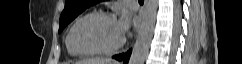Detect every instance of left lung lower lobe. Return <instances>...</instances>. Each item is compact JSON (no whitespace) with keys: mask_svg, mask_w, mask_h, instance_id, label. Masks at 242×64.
Masks as SVG:
<instances>
[{"mask_svg":"<svg viewBox=\"0 0 242 64\" xmlns=\"http://www.w3.org/2000/svg\"><path fill=\"white\" fill-rule=\"evenodd\" d=\"M130 55H131V50H129L125 54L123 53V54L115 55L112 58H114V59H116L118 61H122L123 60L124 64H127L128 61H129Z\"/></svg>","mask_w":242,"mask_h":64,"instance_id":"1","label":"left lung lower lobe"}]
</instances>
